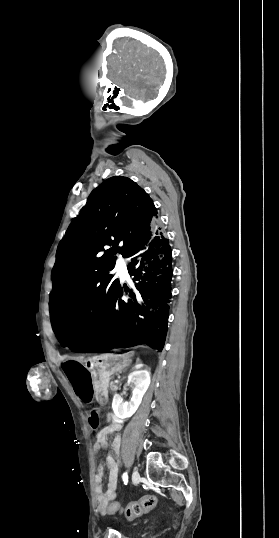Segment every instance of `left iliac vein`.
Returning <instances> with one entry per match:
<instances>
[{"mask_svg": "<svg viewBox=\"0 0 279 538\" xmlns=\"http://www.w3.org/2000/svg\"><path fill=\"white\" fill-rule=\"evenodd\" d=\"M140 474L138 471H133L132 473V483L133 485H137L140 482Z\"/></svg>", "mask_w": 279, "mask_h": 538, "instance_id": "left-iliac-vein-1", "label": "left iliac vein"}]
</instances>
